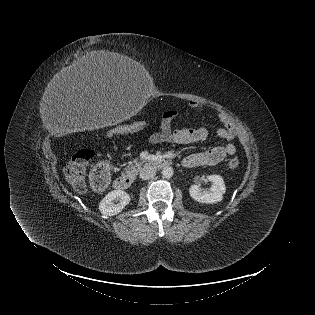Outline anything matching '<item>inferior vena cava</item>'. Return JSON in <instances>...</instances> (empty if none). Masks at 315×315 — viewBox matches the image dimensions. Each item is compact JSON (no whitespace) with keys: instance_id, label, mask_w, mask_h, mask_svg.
Here are the masks:
<instances>
[{"instance_id":"inferior-vena-cava-1","label":"inferior vena cava","mask_w":315,"mask_h":315,"mask_svg":"<svg viewBox=\"0 0 315 315\" xmlns=\"http://www.w3.org/2000/svg\"><path fill=\"white\" fill-rule=\"evenodd\" d=\"M140 178L143 180H149L152 179L156 175V168L154 166H151L149 164H146L141 170H140Z\"/></svg>"}]
</instances>
